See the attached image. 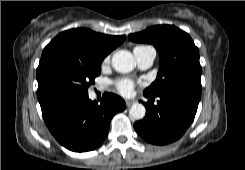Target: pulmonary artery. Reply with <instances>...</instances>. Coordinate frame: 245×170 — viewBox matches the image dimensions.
<instances>
[{
	"label": "pulmonary artery",
	"mask_w": 245,
	"mask_h": 170,
	"mask_svg": "<svg viewBox=\"0 0 245 170\" xmlns=\"http://www.w3.org/2000/svg\"><path fill=\"white\" fill-rule=\"evenodd\" d=\"M134 55L139 67L142 69L149 68L155 59V51L151 47H146L143 49L136 48L134 49Z\"/></svg>",
	"instance_id": "e3ab8cb5"
}]
</instances>
